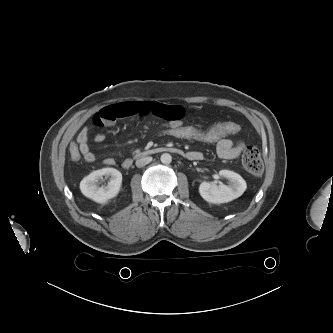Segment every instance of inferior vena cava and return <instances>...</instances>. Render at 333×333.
Returning <instances> with one entry per match:
<instances>
[{
	"instance_id": "obj_1",
	"label": "inferior vena cava",
	"mask_w": 333,
	"mask_h": 333,
	"mask_svg": "<svg viewBox=\"0 0 333 333\" xmlns=\"http://www.w3.org/2000/svg\"><path fill=\"white\" fill-rule=\"evenodd\" d=\"M151 161H152V157H143V158L136 160V166L138 168H141V167H144L145 165H147L148 163H150Z\"/></svg>"
}]
</instances>
